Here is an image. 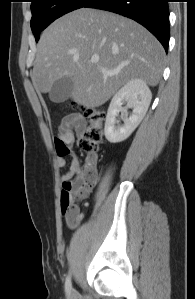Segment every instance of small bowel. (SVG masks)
<instances>
[{"mask_svg": "<svg viewBox=\"0 0 195 299\" xmlns=\"http://www.w3.org/2000/svg\"><path fill=\"white\" fill-rule=\"evenodd\" d=\"M86 129L85 119L78 114H72L65 117L60 124V136L56 142L57 148V165L64 167L66 165V158L70 157L69 170L63 173L60 177L63 192L68 190L67 183L72 182L75 177L78 167L79 160L72 149V145L76 138H81ZM65 222L71 228L77 227L83 219V214L80 212L76 217L72 218L68 215H64Z\"/></svg>", "mask_w": 195, "mask_h": 299, "instance_id": "obj_1", "label": "small bowel"}]
</instances>
